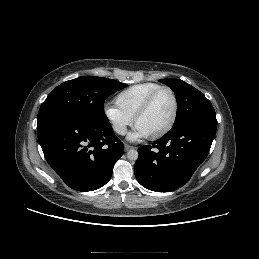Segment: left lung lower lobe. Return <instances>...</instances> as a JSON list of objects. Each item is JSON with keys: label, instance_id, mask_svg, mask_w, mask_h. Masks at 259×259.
I'll use <instances>...</instances> for the list:
<instances>
[{"label": "left lung lower lobe", "instance_id": "0a47b994", "mask_svg": "<svg viewBox=\"0 0 259 259\" xmlns=\"http://www.w3.org/2000/svg\"><path fill=\"white\" fill-rule=\"evenodd\" d=\"M216 125L206 120H190L173 126L151 146H141L134 165L138 182L156 192L182 187L207 157Z\"/></svg>", "mask_w": 259, "mask_h": 259}]
</instances>
